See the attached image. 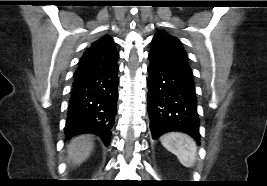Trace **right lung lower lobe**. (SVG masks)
Masks as SVG:
<instances>
[{"mask_svg": "<svg viewBox=\"0 0 267 186\" xmlns=\"http://www.w3.org/2000/svg\"><path fill=\"white\" fill-rule=\"evenodd\" d=\"M118 71L116 61L74 74L65 126L66 139L94 133L108 146L116 114Z\"/></svg>", "mask_w": 267, "mask_h": 186, "instance_id": "obj_1", "label": "right lung lower lobe"}]
</instances>
